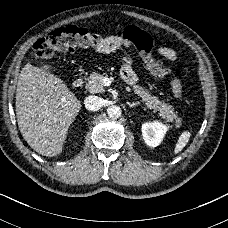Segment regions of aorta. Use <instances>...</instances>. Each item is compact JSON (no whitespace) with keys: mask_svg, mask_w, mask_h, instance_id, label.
I'll return each mask as SVG.
<instances>
[{"mask_svg":"<svg viewBox=\"0 0 228 228\" xmlns=\"http://www.w3.org/2000/svg\"><path fill=\"white\" fill-rule=\"evenodd\" d=\"M107 113L110 118L117 119L121 116L122 111L121 108L118 106H110L107 110Z\"/></svg>","mask_w":228,"mask_h":228,"instance_id":"obj_1","label":"aorta"}]
</instances>
